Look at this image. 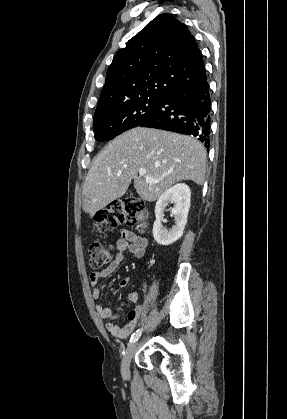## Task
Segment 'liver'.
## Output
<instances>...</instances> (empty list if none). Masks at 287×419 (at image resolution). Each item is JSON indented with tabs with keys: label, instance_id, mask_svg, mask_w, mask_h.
<instances>
[{
	"label": "liver",
	"instance_id": "liver-1",
	"mask_svg": "<svg viewBox=\"0 0 287 419\" xmlns=\"http://www.w3.org/2000/svg\"><path fill=\"white\" fill-rule=\"evenodd\" d=\"M146 170L145 176L138 175ZM206 150L195 138L136 127L113 139L94 159L83 185L82 209L93 217L122 197L134 180L141 199L157 200L173 184L205 181ZM146 176L155 182L146 181Z\"/></svg>",
	"mask_w": 287,
	"mask_h": 419
}]
</instances>
